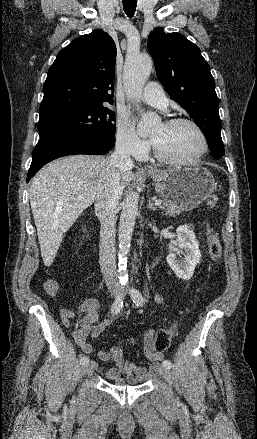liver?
<instances>
[{
	"mask_svg": "<svg viewBox=\"0 0 257 439\" xmlns=\"http://www.w3.org/2000/svg\"><path fill=\"white\" fill-rule=\"evenodd\" d=\"M116 173L122 190L134 177L130 169L113 168L106 157L72 155L49 163L34 176L29 199L45 266L52 265L64 233Z\"/></svg>",
	"mask_w": 257,
	"mask_h": 439,
	"instance_id": "6515ba94",
	"label": "liver"
}]
</instances>
